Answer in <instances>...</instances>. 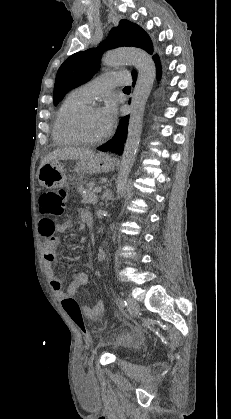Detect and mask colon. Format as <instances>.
Segmentation results:
<instances>
[{"label": "colon", "instance_id": "colon-1", "mask_svg": "<svg viewBox=\"0 0 231 419\" xmlns=\"http://www.w3.org/2000/svg\"><path fill=\"white\" fill-rule=\"evenodd\" d=\"M67 192L63 188L52 189L41 195L39 199V208L41 212L50 216H61L66 209ZM65 312L81 330L84 338L89 341L90 333L86 328L83 320L82 312L78 303L72 298L67 297L62 301ZM119 345L123 343V339L117 341Z\"/></svg>", "mask_w": 231, "mask_h": 419}]
</instances>
